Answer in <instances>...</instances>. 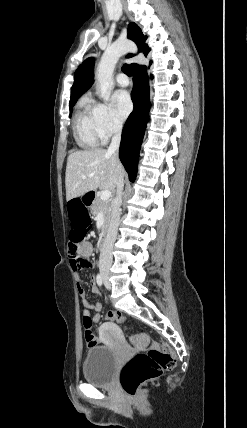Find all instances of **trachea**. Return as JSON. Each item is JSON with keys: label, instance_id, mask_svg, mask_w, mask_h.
<instances>
[{"label": "trachea", "instance_id": "1", "mask_svg": "<svg viewBox=\"0 0 247 428\" xmlns=\"http://www.w3.org/2000/svg\"><path fill=\"white\" fill-rule=\"evenodd\" d=\"M123 72L127 75V76H131V69L129 67V65L124 64L122 67Z\"/></svg>", "mask_w": 247, "mask_h": 428}]
</instances>
